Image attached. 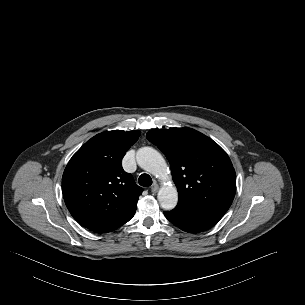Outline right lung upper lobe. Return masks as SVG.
Instances as JSON below:
<instances>
[{
    "instance_id": "cb5924a9",
    "label": "right lung upper lobe",
    "mask_w": 305,
    "mask_h": 305,
    "mask_svg": "<svg viewBox=\"0 0 305 305\" xmlns=\"http://www.w3.org/2000/svg\"><path fill=\"white\" fill-rule=\"evenodd\" d=\"M140 134L105 131L87 141L68 162L62 177L63 197L82 226L110 232L134 216L143 189L123 170L121 161Z\"/></svg>"
}]
</instances>
